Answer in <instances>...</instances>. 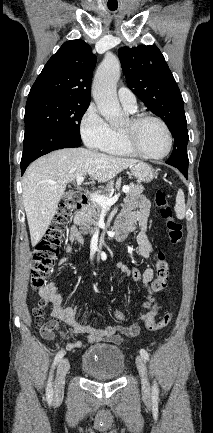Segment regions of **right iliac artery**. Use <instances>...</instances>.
<instances>
[{"mask_svg":"<svg viewBox=\"0 0 213 433\" xmlns=\"http://www.w3.org/2000/svg\"><path fill=\"white\" fill-rule=\"evenodd\" d=\"M65 355V351L64 350H60L54 359L53 362V366L52 368L54 369V367L61 361V359L63 358V356ZM46 399L48 403H51L53 400V387H52V372L50 374L49 380H48V384L46 387Z\"/></svg>","mask_w":213,"mask_h":433,"instance_id":"1","label":"right iliac artery"}]
</instances>
